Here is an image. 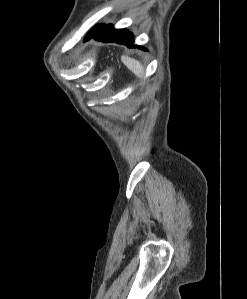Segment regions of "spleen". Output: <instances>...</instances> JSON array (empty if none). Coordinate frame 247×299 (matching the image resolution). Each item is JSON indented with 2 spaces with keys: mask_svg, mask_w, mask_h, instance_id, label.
<instances>
[{
  "mask_svg": "<svg viewBox=\"0 0 247 299\" xmlns=\"http://www.w3.org/2000/svg\"><path fill=\"white\" fill-rule=\"evenodd\" d=\"M121 59L126 67L131 70L136 76L141 77L143 75L144 67L139 61L127 56H122Z\"/></svg>",
  "mask_w": 247,
  "mask_h": 299,
  "instance_id": "1",
  "label": "spleen"
}]
</instances>
